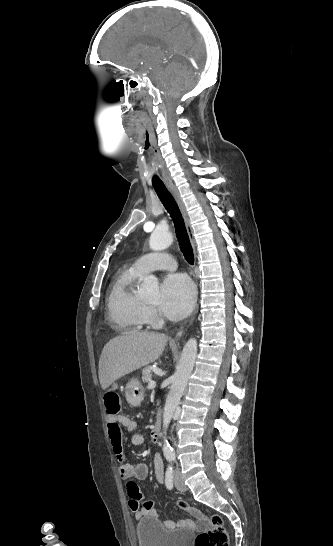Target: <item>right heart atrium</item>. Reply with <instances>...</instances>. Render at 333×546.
<instances>
[{
  "mask_svg": "<svg viewBox=\"0 0 333 546\" xmlns=\"http://www.w3.org/2000/svg\"><path fill=\"white\" fill-rule=\"evenodd\" d=\"M143 312L147 322L156 324L160 321V316L154 307L145 305Z\"/></svg>",
  "mask_w": 333,
  "mask_h": 546,
  "instance_id": "right-heart-atrium-1",
  "label": "right heart atrium"
}]
</instances>
